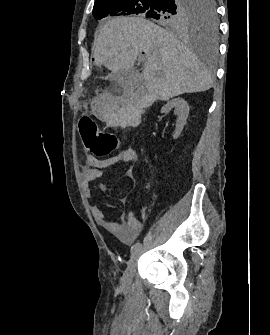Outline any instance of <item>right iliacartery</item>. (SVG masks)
<instances>
[{"label": "right iliac artery", "mask_w": 270, "mask_h": 335, "mask_svg": "<svg viewBox=\"0 0 270 335\" xmlns=\"http://www.w3.org/2000/svg\"><path fill=\"white\" fill-rule=\"evenodd\" d=\"M142 246V244L140 242L135 243L132 247H131V254H133L135 251H137L140 247Z\"/></svg>", "instance_id": "1"}]
</instances>
